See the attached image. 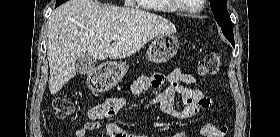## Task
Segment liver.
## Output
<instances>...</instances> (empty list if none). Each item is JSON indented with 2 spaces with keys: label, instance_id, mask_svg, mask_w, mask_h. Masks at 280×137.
<instances>
[{
  "label": "liver",
  "instance_id": "liver-1",
  "mask_svg": "<svg viewBox=\"0 0 280 137\" xmlns=\"http://www.w3.org/2000/svg\"><path fill=\"white\" fill-rule=\"evenodd\" d=\"M175 32V26L159 15L101 6L94 0H69L56 8L49 19L50 93H58L75 77V61L85 53L99 60L122 59L138 52L154 37ZM113 35H119V39L111 43Z\"/></svg>",
  "mask_w": 280,
  "mask_h": 137
}]
</instances>
